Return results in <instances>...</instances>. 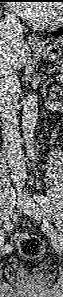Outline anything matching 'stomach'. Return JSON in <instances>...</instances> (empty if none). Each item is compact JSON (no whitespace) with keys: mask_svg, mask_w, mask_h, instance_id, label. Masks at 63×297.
<instances>
[{"mask_svg":"<svg viewBox=\"0 0 63 297\" xmlns=\"http://www.w3.org/2000/svg\"><path fill=\"white\" fill-rule=\"evenodd\" d=\"M35 51L43 58L63 66V39H58L44 49L35 48Z\"/></svg>","mask_w":63,"mask_h":297,"instance_id":"stomach-1","label":"stomach"}]
</instances>
